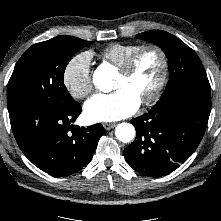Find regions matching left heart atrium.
I'll return each mask as SVG.
<instances>
[{"label":"left heart atrium","mask_w":221,"mask_h":221,"mask_svg":"<svg viewBox=\"0 0 221 221\" xmlns=\"http://www.w3.org/2000/svg\"><path fill=\"white\" fill-rule=\"evenodd\" d=\"M140 101L127 89L97 93L84 105L85 117L91 122H110L126 118L139 107Z\"/></svg>","instance_id":"39dd6f15"}]
</instances>
